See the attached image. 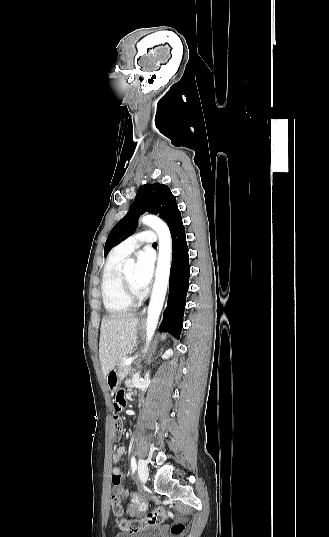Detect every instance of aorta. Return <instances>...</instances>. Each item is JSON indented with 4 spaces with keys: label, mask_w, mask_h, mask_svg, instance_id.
Instances as JSON below:
<instances>
[{
    "label": "aorta",
    "mask_w": 329,
    "mask_h": 537,
    "mask_svg": "<svg viewBox=\"0 0 329 537\" xmlns=\"http://www.w3.org/2000/svg\"><path fill=\"white\" fill-rule=\"evenodd\" d=\"M141 222L154 229L159 238V252L155 282L147 312L146 345H148L156 330L168 288L171 267L172 240L168 226L158 217L153 215H144L141 218ZM134 264L135 260L133 258H129L125 261L124 269H132Z\"/></svg>",
    "instance_id": "762f6f07"
}]
</instances>
